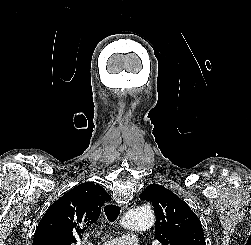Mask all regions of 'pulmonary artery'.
Segmentation results:
<instances>
[{"label": "pulmonary artery", "instance_id": "e3ab8cb5", "mask_svg": "<svg viewBox=\"0 0 251 245\" xmlns=\"http://www.w3.org/2000/svg\"><path fill=\"white\" fill-rule=\"evenodd\" d=\"M104 245H138V239L132 235H124L106 242Z\"/></svg>", "mask_w": 251, "mask_h": 245}]
</instances>
